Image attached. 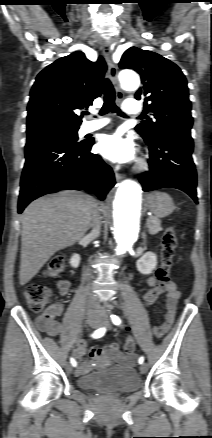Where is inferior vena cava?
I'll return each mask as SVG.
<instances>
[{
  "instance_id": "602c4592",
  "label": "inferior vena cava",
  "mask_w": 212,
  "mask_h": 438,
  "mask_svg": "<svg viewBox=\"0 0 212 438\" xmlns=\"http://www.w3.org/2000/svg\"><path fill=\"white\" fill-rule=\"evenodd\" d=\"M92 231L90 233V236L96 238L100 234V228H101V216L98 212V209L95 210L92 214L91 224H90ZM91 278V274H87V279ZM88 307L90 308H98L99 307V301L97 297L90 293L87 299Z\"/></svg>"
}]
</instances>
